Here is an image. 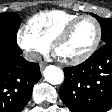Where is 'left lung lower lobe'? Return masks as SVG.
<instances>
[{
    "label": "left lung lower lobe",
    "instance_id": "0a47b994",
    "mask_svg": "<svg viewBox=\"0 0 112 112\" xmlns=\"http://www.w3.org/2000/svg\"><path fill=\"white\" fill-rule=\"evenodd\" d=\"M59 96L72 112H106L112 108V43L83 63L64 68Z\"/></svg>",
    "mask_w": 112,
    "mask_h": 112
}]
</instances>
